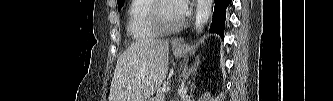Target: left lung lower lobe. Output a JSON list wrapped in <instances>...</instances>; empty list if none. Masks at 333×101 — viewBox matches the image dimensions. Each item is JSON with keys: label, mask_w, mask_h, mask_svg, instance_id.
I'll return each mask as SVG.
<instances>
[{"label": "left lung lower lobe", "mask_w": 333, "mask_h": 101, "mask_svg": "<svg viewBox=\"0 0 333 101\" xmlns=\"http://www.w3.org/2000/svg\"><path fill=\"white\" fill-rule=\"evenodd\" d=\"M231 0H215L213 20L210 31L219 34L224 38V25L226 20V8Z\"/></svg>", "instance_id": "left-lung-lower-lobe-1"}]
</instances>
